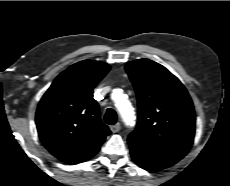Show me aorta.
Masks as SVG:
<instances>
[{
    "mask_svg": "<svg viewBox=\"0 0 230 186\" xmlns=\"http://www.w3.org/2000/svg\"><path fill=\"white\" fill-rule=\"evenodd\" d=\"M112 99L114 100L115 106L118 109L124 123L127 126L134 124V109L128 100L124 98L121 91L114 90L112 93Z\"/></svg>",
    "mask_w": 230,
    "mask_h": 186,
    "instance_id": "762f6f07",
    "label": "aorta"
}]
</instances>
